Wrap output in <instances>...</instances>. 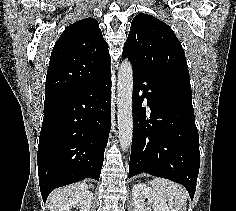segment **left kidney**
Wrapping results in <instances>:
<instances>
[{
    "label": "left kidney",
    "mask_w": 236,
    "mask_h": 211,
    "mask_svg": "<svg viewBox=\"0 0 236 211\" xmlns=\"http://www.w3.org/2000/svg\"><path fill=\"white\" fill-rule=\"evenodd\" d=\"M132 196L135 211H147V205H151L153 211H170L166 201L156 194L151 187L144 183H137L133 186ZM146 199L147 202H145Z\"/></svg>",
    "instance_id": "5707ae66"
}]
</instances>
